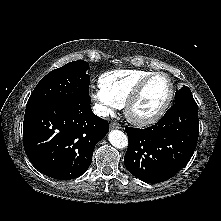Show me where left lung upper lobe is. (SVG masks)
<instances>
[{"mask_svg":"<svg viewBox=\"0 0 221 221\" xmlns=\"http://www.w3.org/2000/svg\"><path fill=\"white\" fill-rule=\"evenodd\" d=\"M175 100L176 102L192 101L194 98L190 89L187 86H183L180 90L176 91Z\"/></svg>","mask_w":221,"mask_h":221,"instance_id":"left-lung-upper-lobe-1","label":"left lung upper lobe"}]
</instances>
